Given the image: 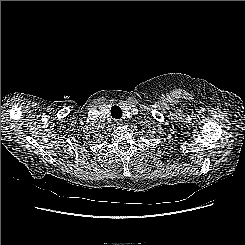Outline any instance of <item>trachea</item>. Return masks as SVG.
<instances>
[{
  "instance_id": "obj_1",
  "label": "trachea",
  "mask_w": 245,
  "mask_h": 245,
  "mask_svg": "<svg viewBox=\"0 0 245 245\" xmlns=\"http://www.w3.org/2000/svg\"><path fill=\"white\" fill-rule=\"evenodd\" d=\"M111 115L115 119H120L122 116V110L119 106L114 105L111 107Z\"/></svg>"
}]
</instances>
